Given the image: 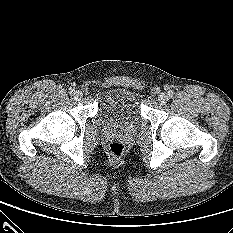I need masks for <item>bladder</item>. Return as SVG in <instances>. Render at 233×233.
Instances as JSON below:
<instances>
[{
  "mask_svg": "<svg viewBox=\"0 0 233 233\" xmlns=\"http://www.w3.org/2000/svg\"><path fill=\"white\" fill-rule=\"evenodd\" d=\"M141 91L125 86L103 89L97 98V119L106 125L134 126L141 119Z\"/></svg>",
  "mask_w": 233,
  "mask_h": 233,
  "instance_id": "bladder-1",
  "label": "bladder"
}]
</instances>
